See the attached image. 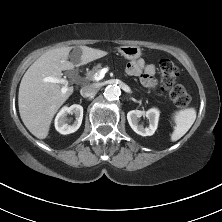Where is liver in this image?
Here are the masks:
<instances>
[{
    "mask_svg": "<svg viewBox=\"0 0 222 222\" xmlns=\"http://www.w3.org/2000/svg\"><path fill=\"white\" fill-rule=\"evenodd\" d=\"M79 48L75 64L68 61L72 47L45 52L28 68L21 80L18 94L20 117L26 128L39 139L48 136L54 115L74 91L73 87H69L66 93H62L60 83L45 82L44 79H61L63 70H71L108 54L87 46Z\"/></svg>",
    "mask_w": 222,
    "mask_h": 222,
    "instance_id": "obj_1",
    "label": "liver"
}]
</instances>
